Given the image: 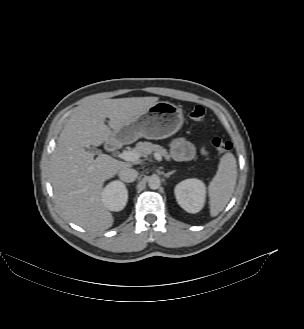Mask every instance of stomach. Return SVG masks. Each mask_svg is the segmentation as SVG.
I'll return each mask as SVG.
<instances>
[{
  "instance_id": "obj_1",
  "label": "stomach",
  "mask_w": 304,
  "mask_h": 329,
  "mask_svg": "<svg viewBox=\"0 0 304 329\" xmlns=\"http://www.w3.org/2000/svg\"><path fill=\"white\" fill-rule=\"evenodd\" d=\"M182 124V109L170 102L160 101L119 130H113L109 142L130 144L140 137L164 139L175 134Z\"/></svg>"
}]
</instances>
